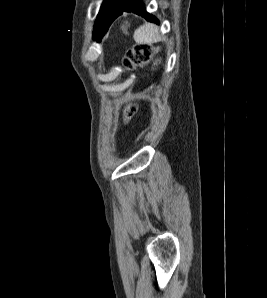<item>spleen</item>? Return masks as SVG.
I'll list each match as a JSON object with an SVG mask.
<instances>
[{
  "instance_id": "3e777b00",
  "label": "spleen",
  "mask_w": 267,
  "mask_h": 298,
  "mask_svg": "<svg viewBox=\"0 0 267 298\" xmlns=\"http://www.w3.org/2000/svg\"><path fill=\"white\" fill-rule=\"evenodd\" d=\"M138 44H153L161 41L159 28L156 25L146 23L140 26L133 35Z\"/></svg>"
}]
</instances>
